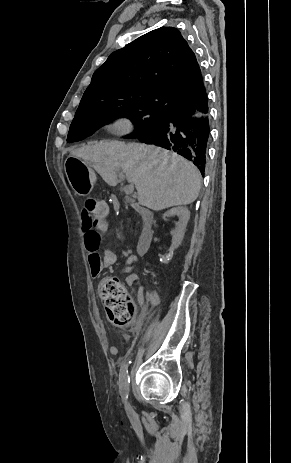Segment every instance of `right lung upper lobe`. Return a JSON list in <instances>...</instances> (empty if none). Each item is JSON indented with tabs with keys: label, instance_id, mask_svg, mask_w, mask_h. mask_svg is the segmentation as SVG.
Returning a JSON list of instances; mask_svg holds the SVG:
<instances>
[{
	"label": "right lung upper lobe",
	"instance_id": "right-lung-upper-lobe-1",
	"mask_svg": "<svg viewBox=\"0 0 291 463\" xmlns=\"http://www.w3.org/2000/svg\"><path fill=\"white\" fill-rule=\"evenodd\" d=\"M205 97L194 52L176 28L161 27L113 52L94 72L78 109L133 101L167 113L192 110Z\"/></svg>",
	"mask_w": 291,
	"mask_h": 463
}]
</instances>
